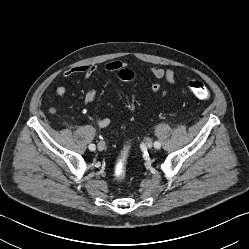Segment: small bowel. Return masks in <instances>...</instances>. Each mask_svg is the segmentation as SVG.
I'll return each mask as SVG.
<instances>
[{
    "instance_id": "c3829d8e",
    "label": "small bowel",
    "mask_w": 249,
    "mask_h": 249,
    "mask_svg": "<svg viewBox=\"0 0 249 249\" xmlns=\"http://www.w3.org/2000/svg\"><path fill=\"white\" fill-rule=\"evenodd\" d=\"M125 65L124 62L121 61H112L107 63L104 66V69L108 72H116L121 69ZM97 70L96 65H78L72 68H68L64 70L63 75L66 78L72 77L77 74H81L85 78V90H84V99L87 106H91L96 101V92L90 83V79ZM150 75L153 78V82L151 84L152 93L159 97L164 98L167 96L168 91L163 89L158 82V80L164 79L168 84L174 85L178 82L179 77L175 70L171 67L156 65L150 68ZM67 92V88L64 85H60L56 88V95L58 97H63ZM94 122L100 128H106L112 123V118L110 117H101L99 115L94 114L92 116Z\"/></svg>"
}]
</instances>
